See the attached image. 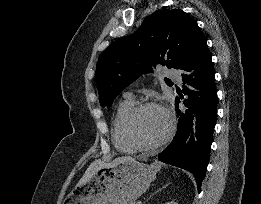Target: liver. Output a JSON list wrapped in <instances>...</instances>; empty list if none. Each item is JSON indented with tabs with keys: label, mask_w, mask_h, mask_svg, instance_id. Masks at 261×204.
<instances>
[{
	"label": "liver",
	"mask_w": 261,
	"mask_h": 204,
	"mask_svg": "<svg viewBox=\"0 0 261 204\" xmlns=\"http://www.w3.org/2000/svg\"><path fill=\"white\" fill-rule=\"evenodd\" d=\"M130 160H134V159L132 157H127V156L117 157L116 159H114L110 163H105V162H103L101 160H97V161L91 163V165L85 171L84 175L82 176V178L80 179L78 184L79 185H83V184L87 183L88 181H90V179L93 177L95 172L97 170H99L100 168L112 167V166H115V165H117L119 163H122V162H125V161H130Z\"/></svg>",
	"instance_id": "liver-1"
}]
</instances>
